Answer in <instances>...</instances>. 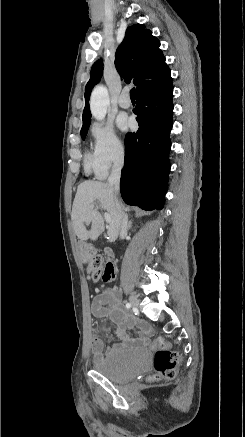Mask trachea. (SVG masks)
<instances>
[{
	"instance_id": "trachea-1",
	"label": "trachea",
	"mask_w": 245,
	"mask_h": 437,
	"mask_svg": "<svg viewBox=\"0 0 245 437\" xmlns=\"http://www.w3.org/2000/svg\"><path fill=\"white\" fill-rule=\"evenodd\" d=\"M135 97V88H132L130 90V98H134Z\"/></svg>"
}]
</instances>
